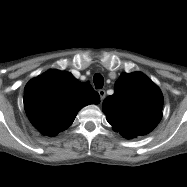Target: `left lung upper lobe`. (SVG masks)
<instances>
[{
    "mask_svg": "<svg viewBox=\"0 0 187 187\" xmlns=\"http://www.w3.org/2000/svg\"><path fill=\"white\" fill-rule=\"evenodd\" d=\"M162 106L160 89L147 76L135 72L121 74L114 94L104 100L102 109L113 129L130 139L155 128Z\"/></svg>",
    "mask_w": 187,
    "mask_h": 187,
    "instance_id": "5c2ea615",
    "label": "left lung upper lobe"
}]
</instances>
